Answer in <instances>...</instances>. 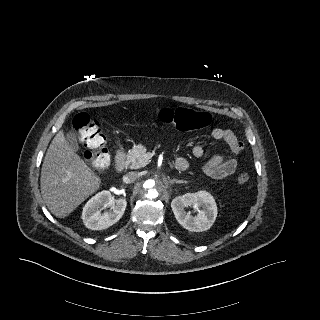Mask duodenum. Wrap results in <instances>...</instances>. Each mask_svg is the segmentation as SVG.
Masks as SVG:
<instances>
[{
    "instance_id": "obj_1",
    "label": "duodenum",
    "mask_w": 320,
    "mask_h": 320,
    "mask_svg": "<svg viewBox=\"0 0 320 320\" xmlns=\"http://www.w3.org/2000/svg\"><path fill=\"white\" fill-rule=\"evenodd\" d=\"M126 166V158L123 150H118L115 155V168L118 172H122ZM175 166L178 170L184 171L188 167V163L185 161L179 162L176 160Z\"/></svg>"
}]
</instances>
